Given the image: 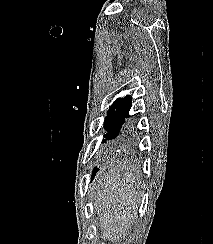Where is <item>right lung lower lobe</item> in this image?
I'll return each instance as SVG.
<instances>
[{"instance_id":"1","label":"right lung lower lobe","mask_w":213,"mask_h":244,"mask_svg":"<svg viewBox=\"0 0 213 244\" xmlns=\"http://www.w3.org/2000/svg\"><path fill=\"white\" fill-rule=\"evenodd\" d=\"M128 142V137H127V133H123L119 138H118V141H117V146H120V145H125L126 143ZM125 149V148H123Z\"/></svg>"}]
</instances>
